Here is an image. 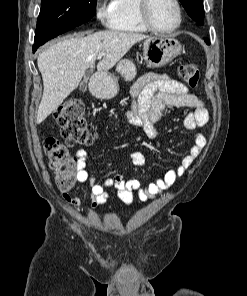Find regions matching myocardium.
<instances>
[{
	"label": "myocardium",
	"instance_id": "obj_1",
	"mask_svg": "<svg viewBox=\"0 0 247 296\" xmlns=\"http://www.w3.org/2000/svg\"><path fill=\"white\" fill-rule=\"evenodd\" d=\"M172 2L174 3L176 12H177L176 24L173 27L168 29H160V28H157L150 19L149 8H150L151 0H139L138 15L143 25L148 30L158 34H170L176 31L182 23V7L179 0H172Z\"/></svg>",
	"mask_w": 247,
	"mask_h": 296
}]
</instances>
